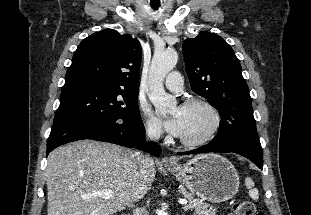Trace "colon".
<instances>
[{"label": "colon", "mask_w": 311, "mask_h": 215, "mask_svg": "<svg viewBox=\"0 0 311 215\" xmlns=\"http://www.w3.org/2000/svg\"><path fill=\"white\" fill-rule=\"evenodd\" d=\"M234 215H265L258 212L251 201H239L233 206Z\"/></svg>", "instance_id": "1"}]
</instances>
